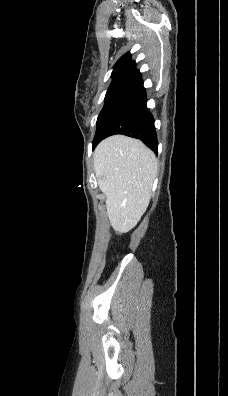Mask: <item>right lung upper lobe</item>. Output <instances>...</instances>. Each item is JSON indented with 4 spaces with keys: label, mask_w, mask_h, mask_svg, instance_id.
Here are the masks:
<instances>
[{
    "label": "right lung upper lobe",
    "mask_w": 228,
    "mask_h": 396,
    "mask_svg": "<svg viewBox=\"0 0 228 396\" xmlns=\"http://www.w3.org/2000/svg\"><path fill=\"white\" fill-rule=\"evenodd\" d=\"M110 86L128 87L141 79V73L135 68V62L131 60V54L126 53L115 64L112 72Z\"/></svg>",
    "instance_id": "obj_1"
}]
</instances>
